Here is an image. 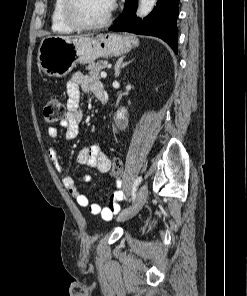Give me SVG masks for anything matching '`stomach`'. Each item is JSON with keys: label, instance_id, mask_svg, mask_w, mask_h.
<instances>
[{"label": "stomach", "instance_id": "0dacf381", "mask_svg": "<svg viewBox=\"0 0 247 296\" xmlns=\"http://www.w3.org/2000/svg\"><path fill=\"white\" fill-rule=\"evenodd\" d=\"M138 44L134 36L118 34L78 36L74 39L49 36L42 39L39 46L38 65L48 76L64 77L77 63L87 64L101 57L120 56Z\"/></svg>", "mask_w": 247, "mask_h": 296}]
</instances>
